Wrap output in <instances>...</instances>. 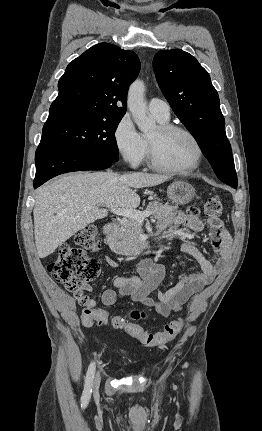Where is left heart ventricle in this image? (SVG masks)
<instances>
[{
	"label": "left heart ventricle",
	"instance_id": "left-heart-ventricle-1",
	"mask_svg": "<svg viewBox=\"0 0 262 431\" xmlns=\"http://www.w3.org/2000/svg\"><path fill=\"white\" fill-rule=\"evenodd\" d=\"M148 140L153 144L160 163L172 168H189L196 156L192 140L185 134H160L156 128Z\"/></svg>",
	"mask_w": 262,
	"mask_h": 431
}]
</instances>
